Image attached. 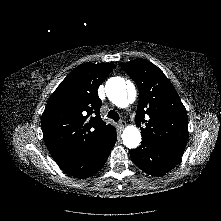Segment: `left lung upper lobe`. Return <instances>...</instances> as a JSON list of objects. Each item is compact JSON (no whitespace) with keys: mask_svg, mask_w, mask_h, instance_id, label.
Masks as SVG:
<instances>
[{"mask_svg":"<svg viewBox=\"0 0 221 221\" xmlns=\"http://www.w3.org/2000/svg\"><path fill=\"white\" fill-rule=\"evenodd\" d=\"M120 66L139 88L135 121L142 139L183 152L188 139L187 112L168 78L145 59ZM141 124L145 126L142 128Z\"/></svg>","mask_w":221,"mask_h":221,"instance_id":"left-lung-upper-lobe-1","label":"left lung upper lobe"}]
</instances>
